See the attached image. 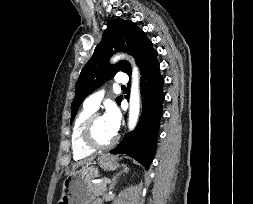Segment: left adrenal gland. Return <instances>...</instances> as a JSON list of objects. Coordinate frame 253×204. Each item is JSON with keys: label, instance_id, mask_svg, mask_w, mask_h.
Instances as JSON below:
<instances>
[{"label": "left adrenal gland", "instance_id": "left-adrenal-gland-1", "mask_svg": "<svg viewBox=\"0 0 253 204\" xmlns=\"http://www.w3.org/2000/svg\"><path fill=\"white\" fill-rule=\"evenodd\" d=\"M123 169L118 172L113 178H112V181H111V184L109 186V190L113 189L116 182H117V179L123 174V173H127L129 171V168L126 166V165H123L122 166Z\"/></svg>", "mask_w": 253, "mask_h": 204}]
</instances>
